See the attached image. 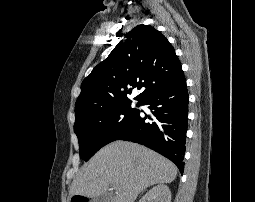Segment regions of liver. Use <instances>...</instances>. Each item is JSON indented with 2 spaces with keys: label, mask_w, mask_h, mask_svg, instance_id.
<instances>
[{
  "label": "liver",
  "mask_w": 255,
  "mask_h": 202,
  "mask_svg": "<svg viewBox=\"0 0 255 202\" xmlns=\"http://www.w3.org/2000/svg\"><path fill=\"white\" fill-rule=\"evenodd\" d=\"M176 176L177 167L165 157L136 143L115 141L83 165L69 193L94 198L112 185L111 202H134L147 187L171 183Z\"/></svg>",
  "instance_id": "1"
}]
</instances>
